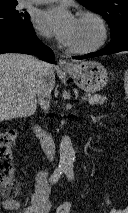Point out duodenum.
<instances>
[{
  "instance_id": "obj_1",
  "label": "duodenum",
  "mask_w": 128,
  "mask_h": 213,
  "mask_svg": "<svg viewBox=\"0 0 128 213\" xmlns=\"http://www.w3.org/2000/svg\"><path fill=\"white\" fill-rule=\"evenodd\" d=\"M33 131L36 134V136L40 139V142L42 144V147L45 151V153L49 157H53L55 154V141L53 136L45 131L39 124L33 123Z\"/></svg>"
}]
</instances>
